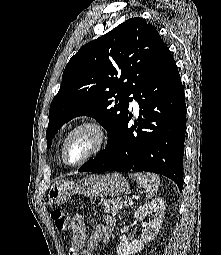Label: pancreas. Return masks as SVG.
<instances>
[{
    "mask_svg": "<svg viewBox=\"0 0 221 255\" xmlns=\"http://www.w3.org/2000/svg\"><path fill=\"white\" fill-rule=\"evenodd\" d=\"M100 204L103 206L105 212H108L112 215L118 214L119 211L124 207L122 198L106 199L104 201H101Z\"/></svg>",
    "mask_w": 221,
    "mask_h": 255,
    "instance_id": "pancreas-1",
    "label": "pancreas"
}]
</instances>
